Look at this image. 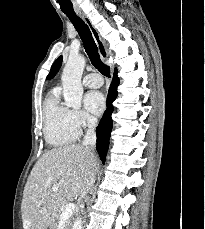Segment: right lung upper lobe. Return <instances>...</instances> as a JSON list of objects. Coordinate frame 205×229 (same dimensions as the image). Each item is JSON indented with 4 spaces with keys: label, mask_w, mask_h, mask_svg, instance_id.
<instances>
[{
    "label": "right lung upper lobe",
    "mask_w": 205,
    "mask_h": 229,
    "mask_svg": "<svg viewBox=\"0 0 205 229\" xmlns=\"http://www.w3.org/2000/svg\"><path fill=\"white\" fill-rule=\"evenodd\" d=\"M61 64H62V56H59L57 58V60L53 63V65L51 67V70H50V73L47 76V79L52 78L57 73V71L60 68Z\"/></svg>",
    "instance_id": "obj_1"
}]
</instances>
